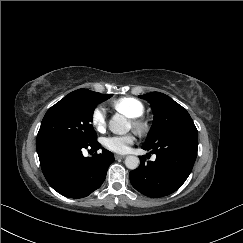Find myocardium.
<instances>
[{
    "instance_id": "1",
    "label": "myocardium",
    "mask_w": 243,
    "mask_h": 243,
    "mask_svg": "<svg viewBox=\"0 0 243 243\" xmlns=\"http://www.w3.org/2000/svg\"><path fill=\"white\" fill-rule=\"evenodd\" d=\"M131 126L139 135H144L148 130L147 123L141 118H131Z\"/></svg>"
}]
</instances>
